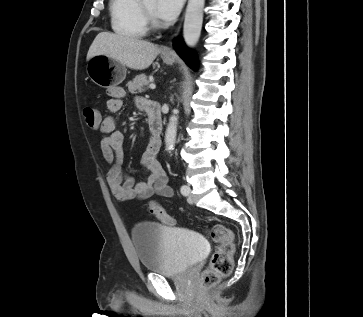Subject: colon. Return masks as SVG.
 Wrapping results in <instances>:
<instances>
[{"instance_id":"5ec220e1","label":"colon","mask_w":363,"mask_h":317,"mask_svg":"<svg viewBox=\"0 0 363 317\" xmlns=\"http://www.w3.org/2000/svg\"><path fill=\"white\" fill-rule=\"evenodd\" d=\"M83 117L86 125L92 130H98L101 126L100 112L90 106L83 109ZM148 208L162 223L173 225L171 217L159 204L151 202ZM211 238L216 243L210 265L200 276V289L206 291L217 284L222 278L227 277L233 268L234 235L230 228L216 225L210 231Z\"/></svg>"}]
</instances>
